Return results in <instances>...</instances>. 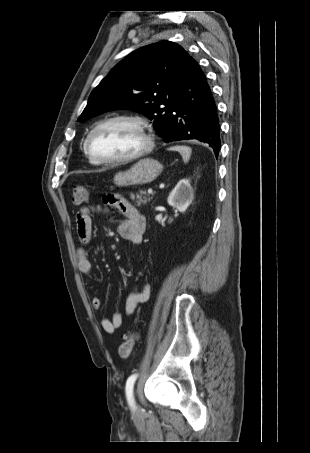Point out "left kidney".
Returning <instances> with one entry per match:
<instances>
[{
	"mask_svg": "<svg viewBox=\"0 0 310 453\" xmlns=\"http://www.w3.org/2000/svg\"><path fill=\"white\" fill-rule=\"evenodd\" d=\"M193 200V191L188 179L180 180L168 196L170 206L184 213Z\"/></svg>",
	"mask_w": 310,
	"mask_h": 453,
	"instance_id": "left-kidney-1",
	"label": "left kidney"
}]
</instances>
